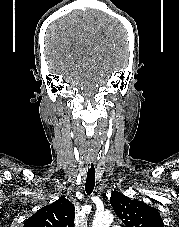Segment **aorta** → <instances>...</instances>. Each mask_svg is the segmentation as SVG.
I'll return each instance as SVG.
<instances>
[{"mask_svg":"<svg viewBox=\"0 0 179 227\" xmlns=\"http://www.w3.org/2000/svg\"><path fill=\"white\" fill-rule=\"evenodd\" d=\"M113 214L110 211L96 213L92 227H110L113 222Z\"/></svg>","mask_w":179,"mask_h":227,"instance_id":"aorta-1","label":"aorta"}]
</instances>
